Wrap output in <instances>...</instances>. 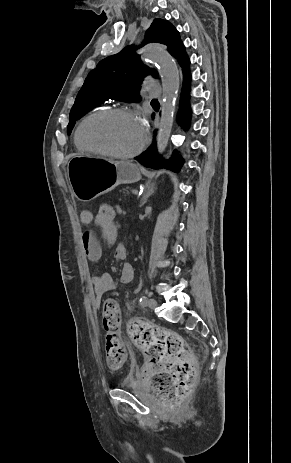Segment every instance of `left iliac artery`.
I'll list each match as a JSON object with an SVG mask.
<instances>
[{"label":"left iliac artery","instance_id":"1","mask_svg":"<svg viewBox=\"0 0 291 463\" xmlns=\"http://www.w3.org/2000/svg\"><path fill=\"white\" fill-rule=\"evenodd\" d=\"M140 304H141L142 306H147V304H148V298H147L146 296H142V297L140 298Z\"/></svg>","mask_w":291,"mask_h":463}]
</instances>
